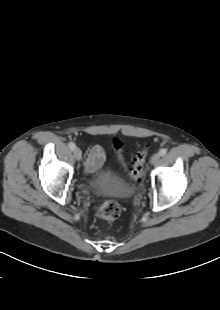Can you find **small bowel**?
Listing matches in <instances>:
<instances>
[{
  "instance_id": "obj_1",
  "label": "small bowel",
  "mask_w": 220,
  "mask_h": 310,
  "mask_svg": "<svg viewBox=\"0 0 220 310\" xmlns=\"http://www.w3.org/2000/svg\"><path fill=\"white\" fill-rule=\"evenodd\" d=\"M106 161V154L100 145H94L87 151L85 159V171L88 175H94L100 171Z\"/></svg>"
}]
</instances>
